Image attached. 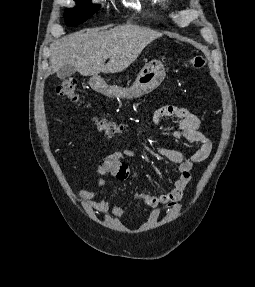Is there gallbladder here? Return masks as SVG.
I'll return each mask as SVG.
<instances>
[{"label":"gallbladder","mask_w":255,"mask_h":287,"mask_svg":"<svg viewBox=\"0 0 255 287\" xmlns=\"http://www.w3.org/2000/svg\"><path fill=\"white\" fill-rule=\"evenodd\" d=\"M75 72H77L75 66H62V68L57 70L56 74L60 80H66V78H70Z\"/></svg>","instance_id":"bac80fb5"}]
</instances>
